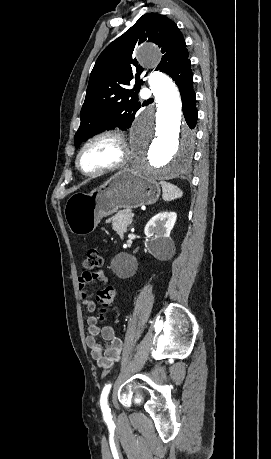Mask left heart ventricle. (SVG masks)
Returning a JSON list of instances; mask_svg holds the SVG:
<instances>
[{
  "label": "left heart ventricle",
  "instance_id": "1",
  "mask_svg": "<svg viewBox=\"0 0 271 459\" xmlns=\"http://www.w3.org/2000/svg\"><path fill=\"white\" fill-rule=\"evenodd\" d=\"M119 155V144L112 136H102L91 141L80 158L81 168L95 170L114 161Z\"/></svg>",
  "mask_w": 271,
  "mask_h": 459
}]
</instances>
